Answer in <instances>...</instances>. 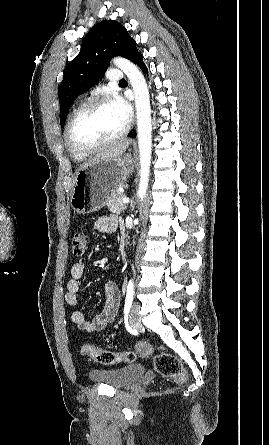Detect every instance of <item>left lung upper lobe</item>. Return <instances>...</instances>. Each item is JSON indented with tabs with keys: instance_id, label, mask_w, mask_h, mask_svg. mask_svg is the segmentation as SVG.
Returning a JSON list of instances; mask_svg holds the SVG:
<instances>
[{
	"instance_id": "obj_1",
	"label": "left lung upper lobe",
	"mask_w": 269,
	"mask_h": 445,
	"mask_svg": "<svg viewBox=\"0 0 269 445\" xmlns=\"http://www.w3.org/2000/svg\"><path fill=\"white\" fill-rule=\"evenodd\" d=\"M140 54L136 41L117 21H102L92 27L80 53L64 70L58 92L61 127L74 99L97 83L113 56L120 55L135 63Z\"/></svg>"
}]
</instances>
